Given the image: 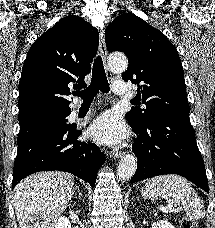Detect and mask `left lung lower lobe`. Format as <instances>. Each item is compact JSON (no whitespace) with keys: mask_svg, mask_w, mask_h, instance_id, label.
I'll use <instances>...</instances> for the list:
<instances>
[{"mask_svg":"<svg viewBox=\"0 0 215 228\" xmlns=\"http://www.w3.org/2000/svg\"><path fill=\"white\" fill-rule=\"evenodd\" d=\"M133 130L137 134L133 151L138 165L131 183L158 175L178 174L209 192L203 158L189 114L158 115L146 128Z\"/></svg>","mask_w":215,"mask_h":228,"instance_id":"left-lung-lower-lobe-1","label":"left lung lower lobe"}]
</instances>
